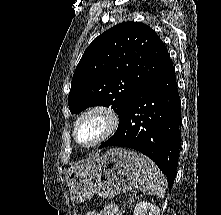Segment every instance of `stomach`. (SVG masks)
Returning <instances> with one entry per match:
<instances>
[{"mask_svg":"<svg viewBox=\"0 0 221 215\" xmlns=\"http://www.w3.org/2000/svg\"><path fill=\"white\" fill-rule=\"evenodd\" d=\"M141 161L137 153L112 148L103 156L67 169V183L71 197L77 202L92 198L96 193L103 198L132 190L140 179Z\"/></svg>","mask_w":221,"mask_h":215,"instance_id":"1","label":"stomach"}]
</instances>
